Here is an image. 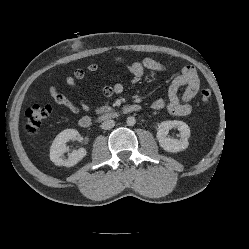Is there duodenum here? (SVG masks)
<instances>
[{
    "label": "duodenum",
    "instance_id": "410a0bca",
    "mask_svg": "<svg viewBox=\"0 0 249 249\" xmlns=\"http://www.w3.org/2000/svg\"><path fill=\"white\" fill-rule=\"evenodd\" d=\"M141 110V106L139 104H130L125 106L120 111H109L101 114L96 119H92L89 116H84L79 120V126L83 129L91 128L94 124L100 123L103 120L115 119L122 115H127L130 113H135Z\"/></svg>",
    "mask_w": 249,
    "mask_h": 249
}]
</instances>
